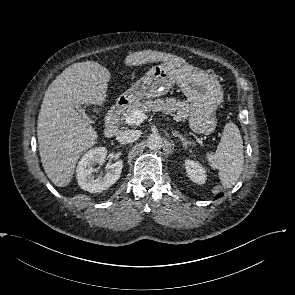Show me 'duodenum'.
Returning a JSON list of instances; mask_svg holds the SVG:
<instances>
[{"label": "duodenum", "instance_id": "obj_1", "mask_svg": "<svg viewBox=\"0 0 295 295\" xmlns=\"http://www.w3.org/2000/svg\"><path fill=\"white\" fill-rule=\"evenodd\" d=\"M126 106L125 100H120L118 103H116L108 112L107 118H106V126H105V136L106 137H113L118 130V122L120 119V116L122 115L124 109Z\"/></svg>", "mask_w": 295, "mask_h": 295}]
</instances>
